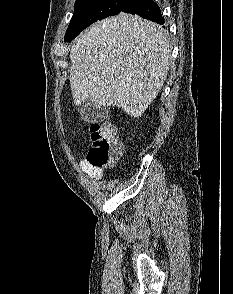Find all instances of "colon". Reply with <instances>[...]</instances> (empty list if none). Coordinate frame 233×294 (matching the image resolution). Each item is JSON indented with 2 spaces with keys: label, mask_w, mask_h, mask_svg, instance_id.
Wrapping results in <instances>:
<instances>
[{
  "label": "colon",
  "mask_w": 233,
  "mask_h": 294,
  "mask_svg": "<svg viewBox=\"0 0 233 294\" xmlns=\"http://www.w3.org/2000/svg\"><path fill=\"white\" fill-rule=\"evenodd\" d=\"M92 147L87 162L94 168L105 169L113 164L122 152V145L116 137V128L109 122L90 125Z\"/></svg>",
  "instance_id": "1"
}]
</instances>
